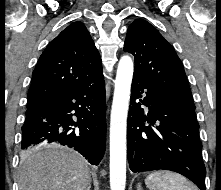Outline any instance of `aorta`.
Masks as SVG:
<instances>
[{"label":"aorta","instance_id":"obj_1","mask_svg":"<svg viewBox=\"0 0 221 190\" xmlns=\"http://www.w3.org/2000/svg\"><path fill=\"white\" fill-rule=\"evenodd\" d=\"M133 70L132 59L122 56L117 69L110 119L111 190H125L127 114Z\"/></svg>","mask_w":221,"mask_h":190}]
</instances>
